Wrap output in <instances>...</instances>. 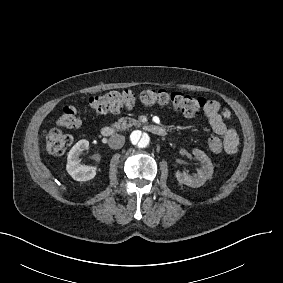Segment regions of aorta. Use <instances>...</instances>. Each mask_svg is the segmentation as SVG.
I'll use <instances>...</instances> for the list:
<instances>
[{
	"label": "aorta",
	"mask_w": 283,
	"mask_h": 283,
	"mask_svg": "<svg viewBox=\"0 0 283 283\" xmlns=\"http://www.w3.org/2000/svg\"><path fill=\"white\" fill-rule=\"evenodd\" d=\"M150 141V136L141 130H135L130 134V142L140 149L148 147Z\"/></svg>",
	"instance_id": "obj_1"
}]
</instances>
